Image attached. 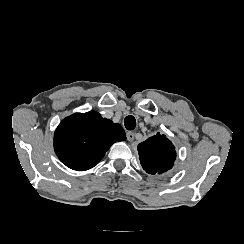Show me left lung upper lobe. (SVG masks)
<instances>
[{"label": "left lung upper lobe", "instance_id": "obj_1", "mask_svg": "<svg viewBox=\"0 0 244 244\" xmlns=\"http://www.w3.org/2000/svg\"><path fill=\"white\" fill-rule=\"evenodd\" d=\"M137 149L141 165L147 173L162 174L174 165L175 147L163 134L157 133L141 142Z\"/></svg>", "mask_w": 244, "mask_h": 244}]
</instances>
